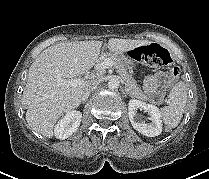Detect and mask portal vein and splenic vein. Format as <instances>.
Masks as SVG:
<instances>
[{
    "mask_svg": "<svg viewBox=\"0 0 209 179\" xmlns=\"http://www.w3.org/2000/svg\"><path fill=\"white\" fill-rule=\"evenodd\" d=\"M112 66H113V61L110 59H106L103 63H101V65L97 66V72H99L100 69H107ZM90 76L93 77L94 74L92 73ZM84 81H85V79H83V78H75L70 81H67L66 84L71 87H76L77 85L83 83ZM58 82L60 83L62 81L59 80Z\"/></svg>",
    "mask_w": 209,
    "mask_h": 179,
    "instance_id": "obj_1",
    "label": "portal vein and splenic vein"
}]
</instances>
